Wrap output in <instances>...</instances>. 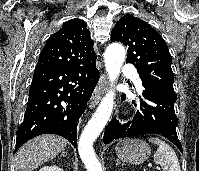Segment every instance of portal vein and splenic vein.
<instances>
[{
    "instance_id": "obj_1",
    "label": "portal vein and splenic vein",
    "mask_w": 199,
    "mask_h": 171,
    "mask_svg": "<svg viewBox=\"0 0 199 171\" xmlns=\"http://www.w3.org/2000/svg\"><path fill=\"white\" fill-rule=\"evenodd\" d=\"M157 170H160V167H156Z\"/></svg>"
}]
</instances>
